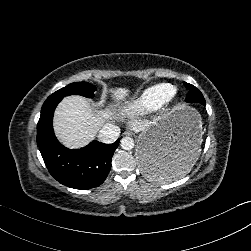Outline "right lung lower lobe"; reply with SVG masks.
<instances>
[{
  "label": "right lung lower lobe",
  "mask_w": 251,
  "mask_h": 251,
  "mask_svg": "<svg viewBox=\"0 0 251 251\" xmlns=\"http://www.w3.org/2000/svg\"><path fill=\"white\" fill-rule=\"evenodd\" d=\"M63 98H47L37 124V145L50 174L74 189H91L106 179L111 159L120 139L112 144L93 141L84 148L70 150L61 145L53 132V113Z\"/></svg>",
  "instance_id": "1"
}]
</instances>
